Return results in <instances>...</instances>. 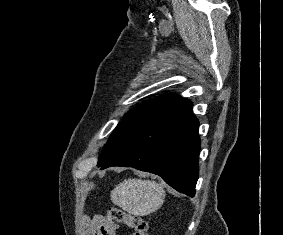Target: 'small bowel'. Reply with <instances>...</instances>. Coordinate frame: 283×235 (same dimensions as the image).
<instances>
[{"label": "small bowel", "mask_w": 283, "mask_h": 235, "mask_svg": "<svg viewBox=\"0 0 283 235\" xmlns=\"http://www.w3.org/2000/svg\"><path fill=\"white\" fill-rule=\"evenodd\" d=\"M118 225L112 220L97 215L87 222L89 235H116Z\"/></svg>", "instance_id": "small-bowel-1"}]
</instances>
